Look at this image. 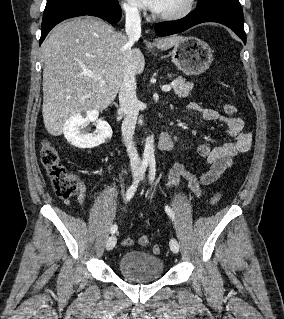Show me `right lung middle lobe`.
I'll list each match as a JSON object with an SVG mask.
<instances>
[{
	"label": "right lung middle lobe",
	"mask_w": 284,
	"mask_h": 319,
	"mask_svg": "<svg viewBox=\"0 0 284 319\" xmlns=\"http://www.w3.org/2000/svg\"><path fill=\"white\" fill-rule=\"evenodd\" d=\"M81 3H94L103 5H113L118 3L117 0H47V4L44 10L45 12L51 11L59 6L66 4H81Z\"/></svg>",
	"instance_id": "1"
}]
</instances>
